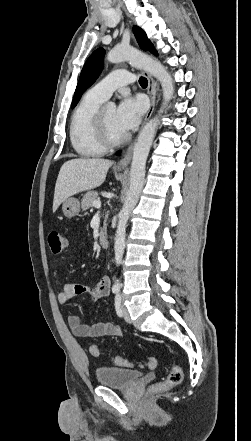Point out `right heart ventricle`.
<instances>
[{
    "mask_svg": "<svg viewBox=\"0 0 251 441\" xmlns=\"http://www.w3.org/2000/svg\"><path fill=\"white\" fill-rule=\"evenodd\" d=\"M104 101V98L89 90L72 113L70 141L76 153L82 157H97L106 151L97 138L94 125L95 116Z\"/></svg>",
    "mask_w": 251,
    "mask_h": 441,
    "instance_id": "1",
    "label": "right heart ventricle"
}]
</instances>
